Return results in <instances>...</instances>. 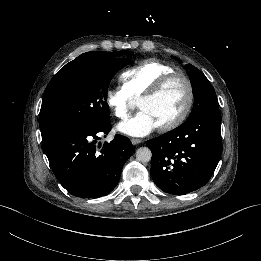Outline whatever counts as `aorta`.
<instances>
[{
  "mask_svg": "<svg viewBox=\"0 0 261 261\" xmlns=\"http://www.w3.org/2000/svg\"><path fill=\"white\" fill-rule=\"evenodd\" d=\"M152 153L148 147H141L136 151V159L140 163H147L151 160Z\"/></svg>",
  "mask_w": 261,
  "mask_h": 261,
  "instance_id": "obj_1",
  "label": "aorta"
}]
</instances>
